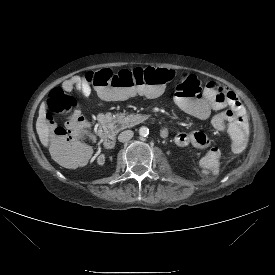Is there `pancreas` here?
<instances>
[{
    "label": "pancreas",
    "mask_w": 275,
    "mask_h": 275,
    "mask_svg": "<svg viewBox=\"0 0 275 275\" xmlns=\"http://www.w3.org/2000/svg\"><path fill=\"white\" fill-rule=\"evenodd\" d=\"M141 118L140 114H127L124 111L114 115L113 124H115V128L119 131L139 124Z\"/></svg>",
    "instance_id": "obj_1"
}]
</instances>
